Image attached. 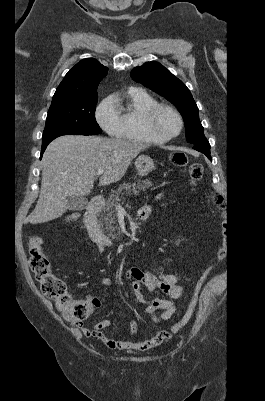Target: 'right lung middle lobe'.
Returning a JSON list of instances; mask_svg holds the SVG:
<instances>
[{
  "mask_svg": "<svg viewBox=\"0 0 265 401\" xmlns=\"http://www.w3.org/2000/svg\"><path fill=\"white\" fill-rule=\"evenodd\" d=\"M98 95L69 100L48 110L42 143L67 134L95 135L102 132L95 119Z\"/></svg>",
  "mask_w": 265,
  "mask_h": 401,
  "instance_id": "right-lung-middle-lobe-1",
  "label": "right lung middle lobe"
}]
</instances>
